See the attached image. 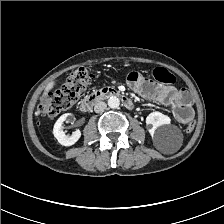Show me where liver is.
<instances>
[{"label":"liver","instance_id":"1","mask_svg":"<svg viewBox=\"0 0 224 224\" xmlns=\"http://www.w3.org/2000/svg\"><path fill=\"white\" fill-rule=\"evenodd\" d=\"M54 85H55V82H54V81H52L51 83H49V84L47 85L46 89H45L44 95H46L47 92H48L49 90H51V89L54 87Z\"/></svg>","mask_w":224,"mask_h":224}]
</instances>
